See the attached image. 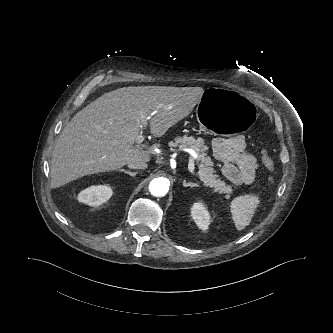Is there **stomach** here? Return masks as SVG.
<instances>
[{
  "instance_id": "obj_1",
  "label": "stomach",
  "mask_w": 333,
  "mask_h": 333,
  "mask_svg": "<svg viewBox=\"0 0 333 333\" xmlns=\"http://www.w3.org/2000/svg\"><path fill=\"white\" fill-rule=\"evenodd\" d=\"M257 108L250 97L225 89H209L199 99L196 116L203 131L225 136L249 129Z\"/></svg>"
}]
</instances>
